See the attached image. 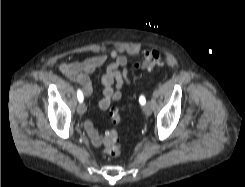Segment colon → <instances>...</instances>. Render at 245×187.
Returning <instances> with one entry per match:
<instances>
[{"mask_svg": "<svg viewBox=\"0 0 245 187\" xmlns=\"http://www.w3.org/2000/svg\"><path fill=\"white\" fill-rule=\"evenodd\" d=\"M165 64L164 55L158 50H150L145 54L144 59L141 62L134 64L136 69L141 70H153ZM109 115L114 123L120 121L119 111L115 108L109 110ZM104 152L110 157H117L121 153V149L118 142V133L111 131L103 140Z\"/></svg>", "mask_w": 245, "mask_h": 187, "instance_id": "obj_1", "label": "colon"}]
</instances>
